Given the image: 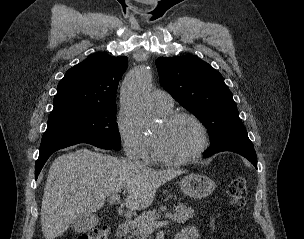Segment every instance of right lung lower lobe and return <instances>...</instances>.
<instances>
[{
    "mask_svg": "<svg viewBox=\"0 0 304 239\" xmlns=\"http://www.w3.org/2000/svg\"><path fill=\"white\" fill-rule=\"evenodd\" d=\"M78 143H88L102 149H108V150L112 149L111 147L103 143L94 142V141H85V140H62V141L41 143L39 157L35 164V178L37 179L43 165L55 151Z\"/></svg>",
    "mask_w": 304,
    "mask_h": 239,
    "instance_id": "98d812e1",
    "label": "right lung lower lobe"
}]
</instances>
